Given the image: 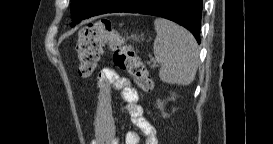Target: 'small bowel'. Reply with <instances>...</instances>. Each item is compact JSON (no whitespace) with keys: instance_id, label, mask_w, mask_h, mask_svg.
<instances>
[{"instance_id":"c3829d8e","label":"small bowel","mask_w":273,"mask_h":144,"mask_svg":"<svg viewBox=\"0 0 273 144\" xmlns=\"http://www.w3.org/2000/svg\"><path fill=\"white\" fill-rule=\"evenodd\" d=\"M121 92L124 101L123 110L138 131H129L125 135V144H139L141 136L146 144H157L155 128L144 116L139 104V94L131 82L120 76L113 68H103L97 78V110L95 116V137L92 144H119L116 126L111 109V90Z\"/></svg>"}]
</instances>
